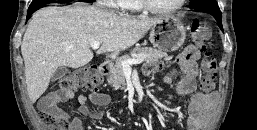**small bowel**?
Returning <instances> with one entry per match:
<instances>
[{"instance_id": "c3829d8e", "label": "small bowel", "mask_w": 257, "mask_h": 130, "mask_svg": "<svg viewBox=\"0 0 257 130\" xmlns=\"http://www.w3.org/2000/svg\"><path fill=\"white\" fill-rule=\"evenodd\" d=\"M198 59L199 51L194 46L186 47L177 58L181 76L174 84L175 93L179 96H191L188 105L187 128L185 130H200L207 120L211 107V97L196 92ZM161 68L162 64L152 63L146 67L145 72L151 74L159 71ZM177 76L178 71L172 70L165 76L164 82L171 85L174 83ZM61 100L62 98L57 93H50L40 101V108L55 110L67 116L65 112L58 108V104ZM110 100L111 98L109 95L99 92L80 95L78 97L79 107L77 113L70 121V130H84V117L101 118L103 111L100 108L107 106L110 103ZM89 103L94 104L97 108H90L88 105Z\"/></svg>"}]
</instances>
